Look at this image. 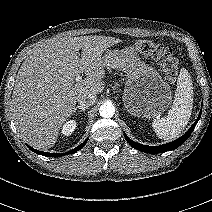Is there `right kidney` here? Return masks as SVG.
I'll return each instance as SVG.
<instances>
[{"instance_id":"ca27d5eb","label":"right kidney","mask_w":212,"mask_h":212,"mask_svg":"<svg viewBox=\"0 0 212 212\" xmlns=\"http://www.w3.org/2000/svg\"><path fill=\"white\" fill-rule=\"evenodd\" d=\"M75 128L76 122L74 120H70L63 125L62 134L65 136L71 135Z\"/></svg>"}]
</instances>
